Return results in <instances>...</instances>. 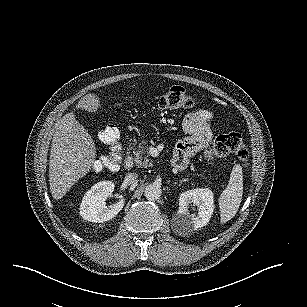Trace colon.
<instances>
[{"mask_svg":"<svg viewBox=\"0 0 307 307\" xmlns=\"http://www.w3.org/2000/svg\"><path fill=\"white\" fill-rule=\"evenodd\" d=\"M157 104L161 109H188L194 105V99L185 88L172 86L160 95ZM99 137L110 151L97 158L93 168L96 171L104 168L115 169L121 159L120 133L115 127L110 126L102 130ZM230 153H234L244 164H247L250 151L238 133L218 135L205 156L208 160H212Z\"/></svg>","mask_w":307,"mask_h":307,"instance_id":"colon-1","label":"colon"}]
</instances>
